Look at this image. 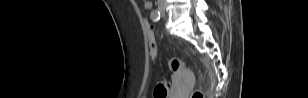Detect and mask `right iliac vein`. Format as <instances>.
I'll return each mask as SVG.
<instances>
[{
    "label": "right iliac vein",
    "mask_w": 308,
    "mask_h": 98,
    "mask_svg": "<svg viewBox=\"0 0 308 98\" xmlns=\"http://www.w3.org/2000/svg\"><path fill=\"white\" fill-rule=\"evenodd\" d=\"M159 9H160V11L163 12L165 8H164V6H160Z\"/></svg>",
    "instance_id": "1"
}]
</instances>
